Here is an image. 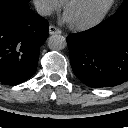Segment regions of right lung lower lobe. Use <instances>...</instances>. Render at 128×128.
Here are the masks:
<instances>
[{"instance_id": "obj_1", "label": "right lung lower lobe", "mask_w": 128, "mask_h": 128, "mask_svg": "<svg viewBox=\"0 0 128 128\" xmlns=\"http://www.w3.org/2000/svg\"><path fill=\"white\" fill-rule=\"evenodd\" d=\"M47 35V21L32 12L27 0H0V82L15 85L29 79Z\"/></svg>"}]
</instances>
